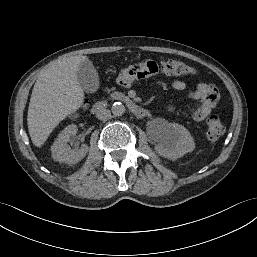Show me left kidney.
Instances as JSON below:
<instances>
[{"instance_id":"left-kidney-1","label":"left kidney","mask_w":257,"mask_h":257,"mask_svg":"<svg viewBox=\"0 0 257 257\" xmlns=\"http://www.w3.org/2000/svg\"><path fill=\"white\" fill-rule=\"evenodd\" d=\"M195 142L190 132L177 123H167L157 138L156 152L165 158L177 159L193 151Z\"/></svg>"}]
</instances>
